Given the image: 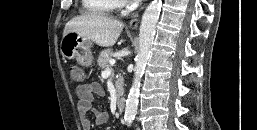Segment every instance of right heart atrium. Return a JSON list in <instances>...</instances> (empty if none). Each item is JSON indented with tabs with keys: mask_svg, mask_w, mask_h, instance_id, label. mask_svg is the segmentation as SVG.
I'll use <instances>...</instances> for the list:
<instances>
[{
	"mask_svg": "<svg viewBox=\"0 0 257 130\" xmlns=\"http://www.w3.org/2000/svg\"><path fill=\"white\" fill-rule=\"evenodd\" d=\"M122 3L126 2V0H120Z\"/></svg>",
	"mask_w": 257,
	"mask_h": 130,
	"instance_id": "obj_1",
	"label": "right heart atrium"
}]
</instances>
